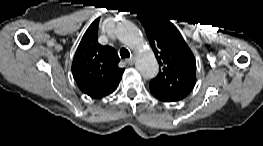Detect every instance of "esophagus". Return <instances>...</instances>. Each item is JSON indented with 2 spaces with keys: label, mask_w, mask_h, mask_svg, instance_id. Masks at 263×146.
I'll use <instances>...</instances> for the list:
<instances>
[{
  "label": "esophagus",
  "mask_w": 263,
  "mask_h": 146,
  "mask_svg": "<svg viewBox=\"0 0 263 146\" xmlns=\"http://www.w3.org/2000/svg\"><path fill=\"white\" fill-rule=\"evenodd\" d=\"M134 62H135L134 57H131V58H129V59L126 60V63H127L128 65H130V66L133 65Z\"/></svg>",
  "instance_id": "obj_1"
}]
</instances>
